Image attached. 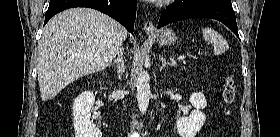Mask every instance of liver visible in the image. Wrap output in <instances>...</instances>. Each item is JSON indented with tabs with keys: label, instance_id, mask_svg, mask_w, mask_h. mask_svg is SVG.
Returning <instances> with one entry per match:
<instances>
[{
	"label": "liver",
	"instance_id": "6515ba94",
	"mask_svg": "<svg viewBox=\"0 0 280 137\" xmlns=\"http://www.w3.org/2000/svg\"><path fill=\"white\" fill-rule=\"evenodd\" d=\"M127 37L122 25L91 8L55 15L38 45L37 74L43 101L54 98L78 78L105 69Z\"/></svg>",
	"mask_w": 280,
	"mask_h": 137
}]
</instances>
